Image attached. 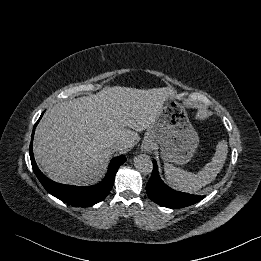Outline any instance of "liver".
I'll return each mask as SVG.
<instances>
[{"label": "liver", "instance_id": "6515ba94", "mask_svg": "<svg viewBox=\"0 0 261 261\" xmlns=\"http://www.w3.org/2000/svg\"><path fill=\"white\" fill-rule=\"evenodd\" d=\"M171 87H105L96 94L55 104L34 136V156L46 175L60 183L87 185L103 176L115 151H126L138 132L154 122ZM123 143L119 150L112 145Z\"/></svg>", "mask_w": 261, "mask_h": 261}]
</instances>
